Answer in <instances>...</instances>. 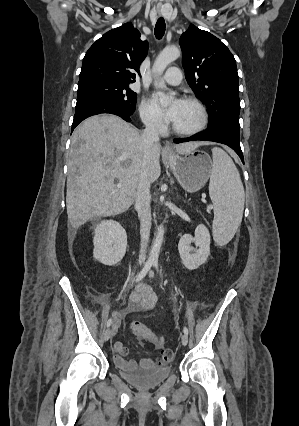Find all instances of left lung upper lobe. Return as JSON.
Masks as SVG:
<instances>
[{
    "label": "left lung upper lobe",
    "instance_id": "obj_1",
    "mask_svg": "<svg viewBox=\"0 0 299 426\" xmlns=\"http://www.w3.org/2000/svg\"><path fill=\"white\" fill-rule=\"evenodd\" d=\"M185 77L209 109L208 128L240 131L236 61L229 49L207 31L190 25L179 40Z\"/></svg>",
    "mask_w": 299,
    "mask_h": 426
}]
</instances>
